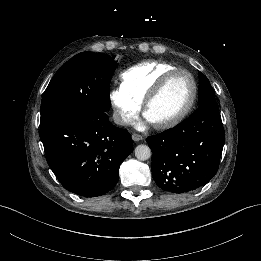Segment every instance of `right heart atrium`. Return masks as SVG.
<instances>
[{"mask_svg": "<svg viewBox=\"0 0 261 261\" xmlns=\"http://www.w3.org/2000/svg\"><path fill=\"white\" fill-rule=\"evenodd\" d=\"M109 100L114 108L115 119L120 125L130 126L137 120L141 111V103L122 87L112 89L109 93Z\"/></svg>", "mask_w": 261, "mask_h": 261, "instance_id": "right-heart-atrium-1", "label": "right heart atrium"}]
</instances>
